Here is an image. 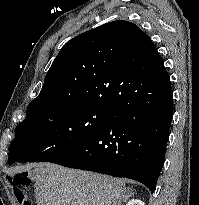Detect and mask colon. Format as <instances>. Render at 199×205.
Here are the masks:
<instances>
[{
  "label": "colon",
  "instance_id": "colon-1",
  "mask_svg": "<svg viewBox=\"0 0 199 205\" xmlns=\"http://www.w3.org/2000/svg\"><path fill=\"white\" fill-rule=\"evenodd\" d=\"M29 182L30 178L26 173H18L10 176V183L13 186L14 194L21 205H31L25 195V190Z\"/></svg>",
  "mask_w": 199,
  "mask_h": 205
}]
</instances>
